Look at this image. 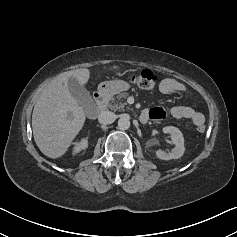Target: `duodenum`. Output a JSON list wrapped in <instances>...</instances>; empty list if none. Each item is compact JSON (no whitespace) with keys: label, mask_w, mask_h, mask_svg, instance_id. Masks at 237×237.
<instances>
[{"label":"duodenum","mask_w":237,"mask_h":237,"mask_svg":"<svg viewBox=\"0 0 237 237\" xmlns=\"http://www.w3.org/2000/svg\"><path fill=\"white\" fill-rule=\"evenodd\" d=\"M94 99L96 101V105L99 110L105 109V107L107 106V97L103 92H100V91L95 92ZM96 115L97 114L95 111H93L91 109L88 111L89 117L95 118Z\"/></svg>","instance_id":"duodenum-1"}]
</instances>
